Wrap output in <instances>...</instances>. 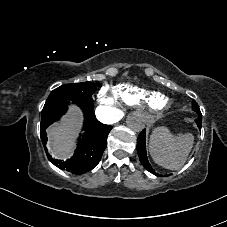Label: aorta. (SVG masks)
Returning a JSON list of instances; mask_svg holds the SVG:
<instances>
[{
    "label": "aorta",
    "instance_id": "obj_1",
    "mask_svg": "<svg viewBox=\"0 0 227 227\" xmlns=\"http://www.w3.org/2000/svg\"><path fill=\"white\" fill-rule=\"evenodd\" d=\"M127 126L135 131L140 132L145 128L146 119L143 114L135 112L127 117Z\"/></svg>",
    "mask_w": 227,
    "mask_h": 227
}]
</instances>
